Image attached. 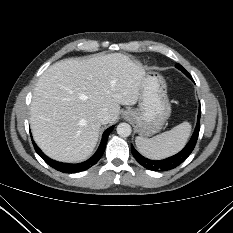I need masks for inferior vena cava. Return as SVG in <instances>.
I'll use <instances>...</instances> for the list:
<instances>
[{"instance_id":"obj_1","label":"inferior vena cava","mask_w":233,"mask_h":233,"mask_svg":"<svg viewBox=\"0 0 233 233\" xmlns=\"http://www.w3.org/2000/svg\"><path fill=\"white\" fill-rule=\"evenodd\" d=\"M97 118L101 124H107L109 122L110 115L106 110H102L98 113Z\"/></svg>"}]
</instances>
